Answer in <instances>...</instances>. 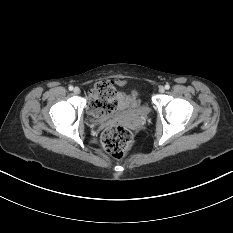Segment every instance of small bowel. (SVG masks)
<instances>
[{
	"mask_svg": "<svg viewBox=\"0 0 233 233\" xmlns=\"http://www.w3.org/2000/svg\"><path fill=\"white\" fill-rule=\"evenodd\" d=\"M117 100H118V107L124 108V107H126L130 104H133L137 101L136 93L132 92L129 95H126L124 93H118Z\"/></svg>",
	"mask_w": 233,
	"mask_h": 233,
	"instance_id": "obj_1",
	"label": "small bowel"
}]
</instances>
